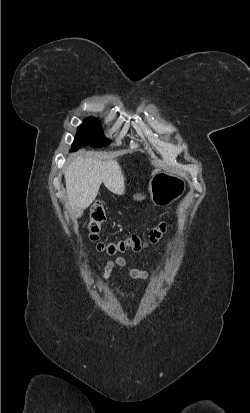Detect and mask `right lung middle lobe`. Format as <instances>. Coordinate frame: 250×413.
<instances>
[{"label": "right lung middle lobe", "instance_id": "obj_1", "mask_svg": "<svg viewBox=\"0 0 250 413\" xmlns=\"http://www.w3.org/2000/svg\"><path fill=\"white\" fill-rule=\"evenodd\" d=\"M99 125L95 119L88 118L85 123L78 128L71 151H76L84 145L92 147L108 145L109 141L104 139L102 129Z\"/></svg>", "mask_w": 250, "mask_h": 413}]
</instances>
